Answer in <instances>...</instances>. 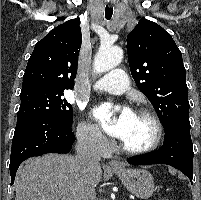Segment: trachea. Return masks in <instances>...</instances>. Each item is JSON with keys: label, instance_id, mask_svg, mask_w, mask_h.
Wrapping results in <instances>:
<instances>
[{"label": "trachea", "instance_id": "3493384b", "mask_svg": "<svg viewBox=\"0 0 201 200\" xmlns=\"http://www.w3.org/2000/svg\"><path fill=\"white\" fill-rule=\"evenodd\" d=\"M112 15H113V8L107 5L105 8V18L107 20H110L112 18Z\"/></svg>", "mask_w": 201, "mask_h": 200}]
</instances>
